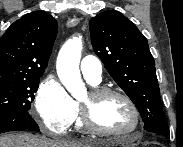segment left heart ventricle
<instances>
[{
	"label": "left heart ventricle",
	"instance_id": "obj_1",
	"mask_svg": "<svg viewBox=\"0 0 183 147\" xmlns=\"http://www.w3.org/2000/svg\"><path fill=\"white\" fill-rule=\"evenodd\" d=\"M87 94L82 102H89ZM95 121L102 128L115 131H128L134 126V117L128 104L118 96H108L95 102L93 106Z\"/></svg>",
	"mask_w": 183,
	"mask_h": 147
}]
</instances>
